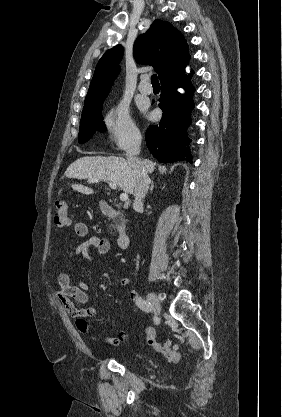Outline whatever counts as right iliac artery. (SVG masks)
<instances>
[{
	"mask_svg": "<svg viewBox=\"0 0 282 417\" xmlns=\"http://www.w3.org/2000/svg\"><path fill=\"white\" fill-rule=\"evenodd\" d=\"M135 304L143 311L150 312L151 311V304L144 300L141 297L136 298Z\"/></svg>",
	"mask_w": 282,
	"mask_h": 417,
	"instance_id": "right-iliac-artery-1",
	"label": "right iliac artery"
}]
</instances>
